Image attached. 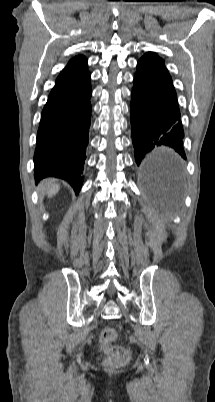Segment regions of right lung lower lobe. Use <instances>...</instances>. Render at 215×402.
I'll use <instances>...</instances> for the list:
<instances>
[{"mask_svg":"<svg viewBox=\"0 0 215 402\" xmlns=\"http://www.w3.org/2000/svg\"><path fill=\"white\" fill-rule=\"evenodd\" d=\"M92 89L90 74L77 86L49 95L42 111L34 154L35 179H65L76 193L83 182L89 141Z\"/></svg>","mask_w":215,"mask_h":402,"instance_id":"98d812e1","label":"right lung lower lobe"}]
</instances>
